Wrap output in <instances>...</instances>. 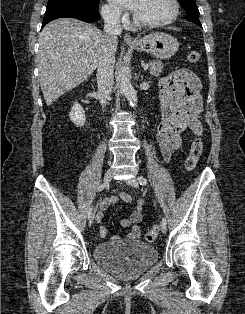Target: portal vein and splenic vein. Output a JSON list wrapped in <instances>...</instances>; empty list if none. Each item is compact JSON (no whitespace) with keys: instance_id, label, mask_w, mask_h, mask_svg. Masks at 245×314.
<instances>
[{"instance_id":"obj_1","label":"portal vein and splenic vein","mask_w":245,"mask_h":314,"mask_svg":"<svg viewBox=\"0 0 245 314\" xmlns=\"http://www.w3.org/2000/svg\"><path fill=\"white\" fill-rule=\"evenodd\" d=\"M148 68H149V64H146V65L143 66L144 70H147Z\"/></svg>"}]
</instances>
